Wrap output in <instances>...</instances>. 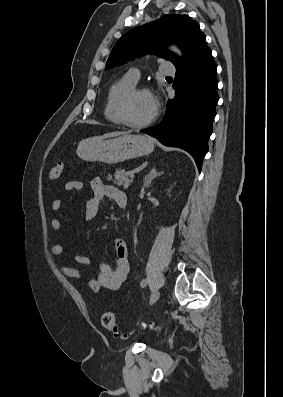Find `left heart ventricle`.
I'll list each match as a JSON object with an SVG mask.
<instances>
[{
  "label": "left heart ventricle",
  "instance_id": "left-heart-ventricle-1",
  "mask_svg": "<svg viewBox=\"0 0 283 397\" xmlns=\"http://www.w3.org/2000/svg\"><path fill=\"white\" fill-rule=\"evenodd\" d=\"M155 110L154 100L145 93L136 95L128 104V119L135 123H140L152 116Z\"/></svg>",
  "mask_w": 283,
  "mask_h": 397
}]
</instances>
